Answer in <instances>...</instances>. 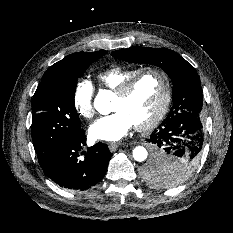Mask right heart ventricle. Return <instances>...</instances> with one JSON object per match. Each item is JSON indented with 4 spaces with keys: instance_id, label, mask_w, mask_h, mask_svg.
I'll return each instance as SVG.
<instances>
[{
    "instance_id": "obj_1",
    "label": "right heart ventricle",
    "mask_w": 233,
    "mask_h": 233,
    "mask_svg": "<svg viewBox=\"0 0 233 233\" xmlns=\"http://www.w3.org/2000/svg\"><path fill=\"white\" fill-rule=\"evenodd\" d=\"M139 70V68L112 66L97 73L96 79L103 88L116 91L125 80Z\"/></svg>"
}]
</instances>
